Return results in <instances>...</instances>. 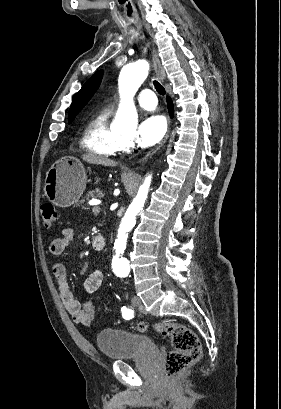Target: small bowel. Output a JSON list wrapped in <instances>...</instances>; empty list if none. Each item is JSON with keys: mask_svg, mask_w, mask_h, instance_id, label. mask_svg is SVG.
<instances>
[{"mask_svg": "<svg viewBox=\"0 0 281 409\" xmlns=\"http://www.w3.org/2000/svg\"><path fill=\"white\" fill-rule=\"evenodd\" d=\"M74 237L71 228H63L60 236L52 240L50 252L53 255H62ZM53 273L58 282L59 296L66 310L71 315L75 324L90 328L94 324L95 309L91 302L81 303L74 297L68 280V263L65 260L57 261L53 264ZM104 280V273L101 270L93 271L85 280L84 287L88 293L96 292Z\"/></svg>", "mask_w": 281, "mask_h": 409, "instance_id": "small-bowel-1", "label": "small bowel"}]
</instances>
